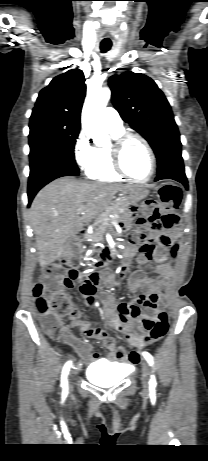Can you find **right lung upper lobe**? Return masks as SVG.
I'll list each match as a JSON object with an SVG mask.
<instances>
[{"instance_id": "right-lung-upper-lobe-1", "label": "right lung upper lobe", "mask_w": 208, "mask_h": 461, "mask_svg": "<svg viewBox=\"0 0 208 461\" xmlns=\"http://www.w3.org/2000/svg\"><path fill=\"white\" fill-rule=\"evenodd\" d=\"M85 92L83 72L69 70L40 91L30 119H55L80 127Z\"/></svg>"}]
</instances>
